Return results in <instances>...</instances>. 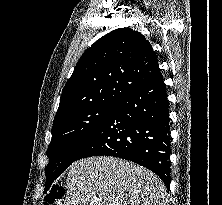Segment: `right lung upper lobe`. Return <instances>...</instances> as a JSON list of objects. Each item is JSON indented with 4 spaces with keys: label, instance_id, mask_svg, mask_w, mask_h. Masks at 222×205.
<instances>
[{
    "label": "right lung upper lobe",
    "instance_id": "cb5924a9",
    "mask_svg": "<svg viewBox=\"0 0 222 205\" xmlns=\"http://www.w3.org/2000/svg\"><path fill=\"white\" fill-rule=\"evenodd\" d=\"M159 75L158 59L149 41L130 28L116 29L82 55L63 88L54 122L95 104L120 102Z\"/></svg>",
    "mask_w": 222,
    "mask_h": 205
}]
</instances>
